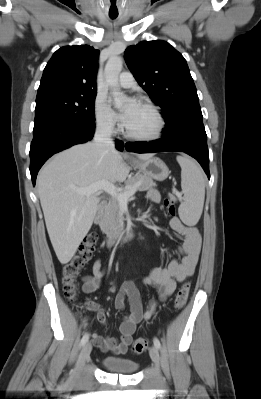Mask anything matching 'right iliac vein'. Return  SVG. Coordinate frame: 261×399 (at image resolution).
Instances as JSON below:
<instances>
[{"label":"right iliac vein","mask_w":261,"mask_h":399,"mask_svg":"<svg viewBox=\"0 0 261 399\" xmlns=\"http://www.w3.org/2000/svg\"><path fill=\"white\" fill-rule=\"evenodd\" d=\"M91 350H92L91 343L88 342L83 346V348L79 354L78 361H77V369L78 370H80L84 366L86 360L90 356Z\"/></svg>","instance_id":"right-iliac-vein-1"}]
</instances>
